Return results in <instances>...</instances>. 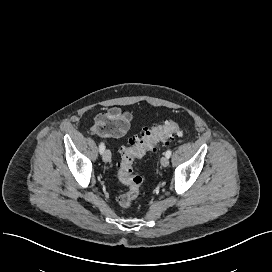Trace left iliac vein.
Here are the masks:
<instances>
[{
	"label": "left iliac vein",
	"instance_id": "left-iliac-vein-1",
	"mask_svg": "<svg viewBox=\"0 0 272 272\" xmlns=\"http://www.w3.org/2000/svg\"><path fill=\"white\" fill-rule=\"evenodd\" d=\"M160 163L163 167H167L169 165V158L166 156H163L160 160Z\"/></svg>",
	"mask_w": 272,
	"mask_h": 272
}]
</instances>
